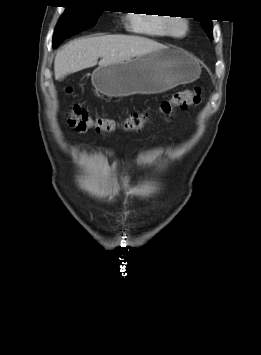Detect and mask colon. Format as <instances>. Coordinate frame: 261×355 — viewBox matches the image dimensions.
<instances>
[{
    "instance_id": "5ec220e1",
    "label": "colon",
    "mask_w": 261,
    "mask_h": 355,
    "mask_svg": "<svg viewBox=\"0 0 261 355\" xmlns=\"http://www.w3.org/2000/svg\"><path fill=\"white\" fill-rule=\"evenodd\" d=\"M200 99L201 91L199 88L178 91L170 98L161 101L158 105V111L169 118L178 109L197 106ZM148 119L149 113L146 110L134 111L120 122L110 118L93 117L78 104H73L68 111L69 125L80 132L94 130L98 133H112L118 128L126 131H138L146 124Z\"/></svg>"
}]
</instances>
